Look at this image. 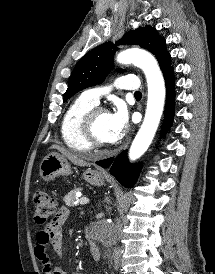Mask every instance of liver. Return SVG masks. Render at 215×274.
<instances>
[{"label": "liver", "instance_id": "obj_1", "mask_svg": "<svg viewBox=\"0 0 215 274\" xmlns=\"http://www.w3.org/2000/svg\"><path fill=\"white\" fill-rule=\"evenodd\" d=\"M51 148L57 149L59 152L62 153L63 156L68 158L75 165H78V166H89L90 165L82 157L72 154L71 152L65 150L64 148H62L60 146L53 145Z\"/></svg>", "mask_w": 215, "mask_h": 274}]
</instances>
